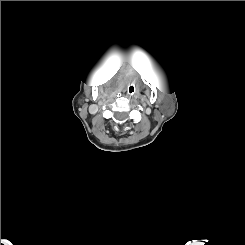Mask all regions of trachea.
<instances>
[{"mask_svg":"<svg viewBox=\"0 0 245 245\" xmlns=\"http://www.w3.org/2000/svg\"><path fill=\"white\" fill-rule=\"evenodd\" d=\"M136 92V85L134 83H129L127 86V93L133 95Z\"/></svg>","mask_w":245,"mask_h":245,"instance_id":"trachea-1","label":"trachea"}]
</instances>
